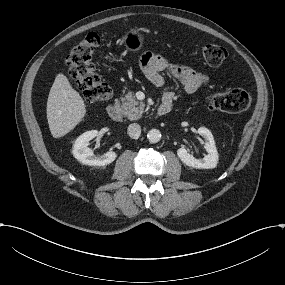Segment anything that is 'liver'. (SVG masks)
Here are the masks:
<instances>
[{"label":"liver","mask_w":285,"mask_h":285,"mask_svg":"<svg viewBox=\"0 0 285 285\" xmlns=\"http://www.w3.org/2000/svg\"><path fill=\"white\" fill-rule=\"evenodd\" d=\"M87 106L80 93L70 84L64 73H59L50 89L47 119L54 139L72 132L85 118Z\"/></svg>","instance_id":"obj_1"}]
</instances>
